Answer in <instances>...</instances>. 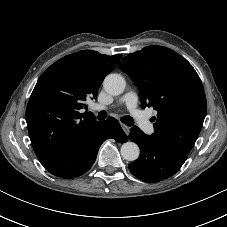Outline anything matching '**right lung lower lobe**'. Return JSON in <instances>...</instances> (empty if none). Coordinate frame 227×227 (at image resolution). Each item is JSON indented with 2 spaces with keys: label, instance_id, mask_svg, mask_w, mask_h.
I'll return each instance as SVG.
<instances>
[{
  "label": "right lung lower lobe",
  "instance_id": "right-lung-lower-lobe-1",
  "mask_svg": "<svg viewBox=\"0 0 227 227\" xmlns=\"http://www.w3.org/2000/svg\"><path fill=\"white\" fill-rule=\"evenodd\" d=\"M116 134L125 135L115 118L109 117L105 121H100L83 140L76 144L57 164L47 170L64 179L84 174L95 162L101 144L107 138L115 139Z\"/></svg>",
  "mask_w": 227,
  "mask_h": 227
}]
</instances>
